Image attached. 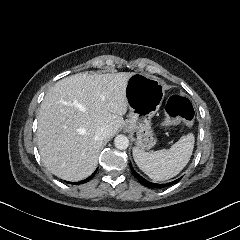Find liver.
Returning a JSON list of instances; mask_svg holds the SVG:
<instances>
[{
  "label": "liver",
  "mask_w": 240,
  "mask_h": 240,
  "mask_svg": "<svg viewBox=\"0 0 240 240\" xmlns=\"http://www.w3.org/2000/svg\"><path fill=\"white\" fill-rule=\"evenodd\" d=\"M133 74L77 73L49 89L38 114L37 144L52 174L80 181L95 171L103 144L96 130L106 128L109 139L124 126L126 84Z\"/></svg>",
  "instance_id": "6515ba94"
}]
</instances>
